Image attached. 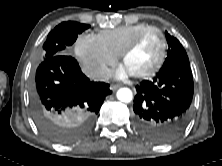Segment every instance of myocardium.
Returning a JSON list of instances; mask_svg holds the SVG:
<instances>
[{
  "label": "myocardium",
  "instance_id": "f54148a6",
  "mask_svg": "<svg viewBox=\"0 0 222 166\" xmlns=\"http://www.w3.org/2000/svg\"><path fill=\"white\" fill-rule=\"evenodd\" d=\"M150 32L157 33L161 39L160 55L157 61L155 62V64L151 66L149 69L136 73V74H132L136 78L149 77L153 75L154 73H156L164 64L166 56H167V46H168L167 39L164 32L156 26H148L147 28L139 32L118 54V60L120 63H122L123 60L138 46L141 40Z\"/></svg>",
  "mask_w": 222,
  "mask_h": 166
}]
</instances>
